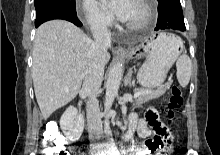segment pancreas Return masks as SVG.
<instances>
[{
    "label": "pancreas",
    "mask_w": 220,
    "mask_h": 155,
    "mask_svg": "<svg viewBox=\"0 0 220 155\" xmlns=\"http://www.w3.org/2000/svg\"><path fill=\"white\" fill-rule=\"evenodd\" d=\"M170 82L167 83L166 85H164L163 87L159 88L158 90L151 92V93H146L143 94L141 96H139L136 99V106H140L143 103H146L150 100L159 98L160 96H162L163 94H165L166 90L170 87Z\"/></svg>",
    "instance_id": "1"
}]
</instances>
